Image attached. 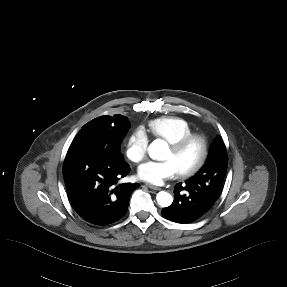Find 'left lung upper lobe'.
<instances>
[{
	"label": "left lung upper lobe",
	"mask_w": 287,
	"mask_h": 287,
	"mask_svg": "<svg viewBox=\"0 0 287 287\" xmlns=\"http://www.w3.org/2000/svg\"><path fill=\"white\" fill-rule=\"evenodd\" d=\"M227 165L228 156L225 145L222 138L217 136L212 143L205 165L185 183L193 184L205 194L216 193L219 195Z\"/></svg>",
	"instance_id": "left-lung-upper-lobe-1"
}]
</instances>
